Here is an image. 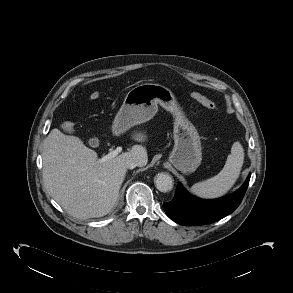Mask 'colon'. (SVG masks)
I'll list each match as a JSON object with an SVG mask.
<instances>
[{
  "instance_id": "1",
  "label": "colon",
  "mask_w": 293,
  "mask_h": 293,
  "mask_svg": "<svg viewBox=\"0 0 293 293\" xmlns=\"http://www.w3.org/2000/svg\"><path fill=\"white\" fill-rule=\"evenodd\" d=\"M99 96H100V93L98 91H93L90 94V99L95 100V99H98ZM190 96L193 100H195L196 102H198L199 104H201L205 108H207L211 111H217V109H218L217 105L211 99L206 97L205 95L194 91V92H191ZM61 127H62L63 131L71 132L73 129V124L71 122L67 121V122H64Z\"/></svg>"
}]
</instances>
